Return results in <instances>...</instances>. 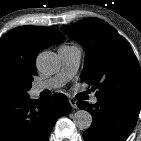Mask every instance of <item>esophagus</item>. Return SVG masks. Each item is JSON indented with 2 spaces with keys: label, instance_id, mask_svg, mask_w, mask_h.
Returning <instances> with one entry per match:
<instances>
[{
  "label": "esophagus",
  "instance_id": "esophagus-1",
  "mask_svg": "<svg viewBox=\"0 0 141 141\" xmlns=\"http://www.w3.org/2000/svg\"><path fill=\"white\" fill-rule=\"evenodd\" d=\"M69 103H70V105H71L72 108H77V104H76L77 102H76L75 99L70 98L69 99Z\"/></svg>",
  "mask_w": 141,
  "mask_h": 141
}]
</instances>
